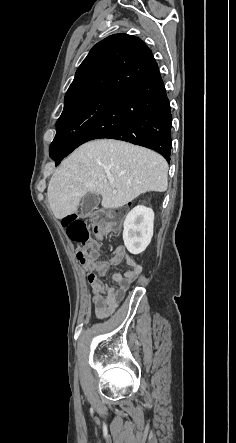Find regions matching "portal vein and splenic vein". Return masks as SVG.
I'll return each mask as SVG.
<instances>
[{"label": "portal vein and splenic vein", "mask_w": 236, "mask_h": 443, "mask_svg": "<svg viewBox=\"0 0 236 443\" xmlns=\"http://www.w3.org/2000/svg\"><path fill=\"white\" fill-rule=\"evenodd\" d=\"M109 181H110V183H114V180H113V178H109Z\"/></svg>", "instance_id": "1"}]
</instances>
